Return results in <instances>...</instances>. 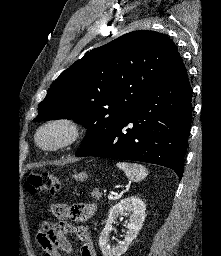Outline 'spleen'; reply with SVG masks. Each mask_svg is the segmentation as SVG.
Wrapping results in <instances>:
<instances>
[{"label": "spleen", "mask_w": 221, "mask_h": 256, "mask_svg": "<svg viewBox=\"0 0 221 256\" xmlns=\"http://www.w3.org/2000/svg\"><path fill=\"white\" fill-rule=\"evenodd\" d=\"M116 166L122 169L131 181L139 182L147 176L146 168L137 163L118 162Z\"/></svg>", "instance_id": "obj_1"}]
</instances>
